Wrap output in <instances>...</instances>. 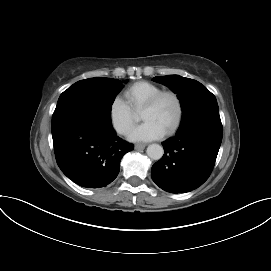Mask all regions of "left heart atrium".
<instances>
[{
	"mask_svg": "<svg viewBox=\"0 0 271 271\" xmlns=\"http://www.w3.org/2000/svg\"><path fill=\"white\" fill-rule=\"evenodd\" d=\"M164 135L165 130L157 123L152 120H146L130 132L129 139L131 141H151L159 139Z\"/></svg>",
	"mask_w": 271,
	"mask_h": 271,
	"instance_id": "39dd6f15",
	"label": "left heart atrium"
}]
</instances>
